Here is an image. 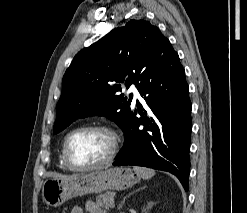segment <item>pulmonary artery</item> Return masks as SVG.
<instances>
[{
    "label": "pulmonary artery",
    "instance_id": "obj_1",
    "mask_svg": "<svg viewBox=\"0 0 247 213\" xmlns=\"http://www.w3.org/2000/svg\"><path fill=\"white\" fill-rule=\"evenodd\" d=\"M128 91L133 94L135 99H139L140 98V94H139L137 88L135 87V85H131L129 87Z\"/></svg>",
    "mask_w": 247,
    "mask_h": 213
}]
</instances>
